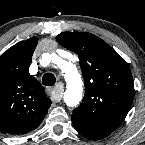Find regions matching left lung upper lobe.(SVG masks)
I'll return each instance as SVG.
<instances>
[{
	"mask_svg": "<svg viewBox=\"0 0 145 145\" xmlns=\"http://www.w3.org/2000/svg\"><path fill=\"white\" fill-rule=\"evenodd\" d=\"M57 42L76 53L85 82V96L71 119L110 134L124 121L133 101L134 86L126 61L99 37L61 33Z\"/></svg>",
	"mask_w": 145,
	"mask_h": 145,
	"instance_id": "1",
	"label": "left lung upper lobe"
}]
</instances>
